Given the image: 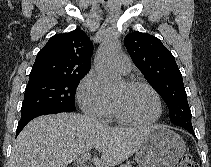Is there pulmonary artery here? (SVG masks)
<instances>
[{
	"mask_svg": "<svg viewBox=\"0 0 211 167\" xmlns=\"http://www.w3.org/2000/svg\"><path fill=\"white\" fill-rule=\"evenodd\" d=\"M131 66V60L125 54L118 55L114 60L115 69L122 74H128L131 70Z\"/></svg>",
	"mask_w": 211,
	"mask_h": 167,
	"instance_id": "e3ab8cb5",
	"label": "pulmonary artery"
}]
</instances>
